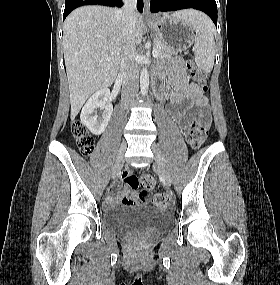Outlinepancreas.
<instances>
[{
	"label": "pancreas",
	"mask_w": 280,
	"mask_h": 285,
	"mask_svg": "<svg viewBox=\"0 0 280 285\" xmlns=\"http://www.w3.org/2000/svg\"><path fill=\"white\" fill-rule=\"evenodd\" d=\"M154 48L158 50L157 58H167L171 55H176L178 50L167 45L158 38L154 39Z\"/></svg>",
	"instance_id": "cf45deb5"
}]
</instances>
